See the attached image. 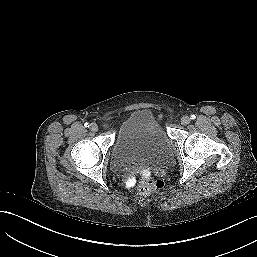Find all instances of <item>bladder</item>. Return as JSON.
I'll return each instance as SVG.
<instances>
[{
	"label": "bladder",
	"instance_id": "1",
	"mask_svg": "<svg viewBox=\"0 0 257 257\" xmlns=\"http://www.w3.org/2000/svg\"><path fill=\"white\" fill-rule=\"evenodd\" d=\"M120 142L136 153V160L142 159L150 167L164 164L172 154L168 136L154 114L147 109L135 112Z\"/></svg>",
	"mask_w": 257,
	"mask_h": 257
}]
</instances>
